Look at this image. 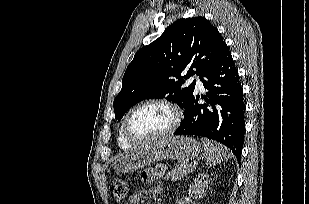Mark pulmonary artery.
Segmentation results:
<instances>
[{"instance_id": "e3ab8cb5", "label": "pulmonary artery", "mask_w": 309, "mask_h": 204, "mask_svg": "<svg viewBox=\"0 0 309 204\" xmlns=\"http://www.w3.org/2000/svg\"><path fill=\"white\" fill-rule=\"evenodd\" d=\"M189 81L190 82L195 81L196 88L199 89V90H203V88H204L203 83L197 76L192 77Z\"/></svg>"}]
</instances>
